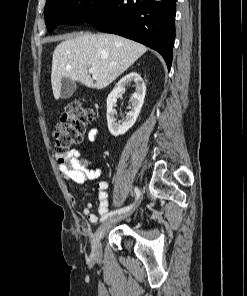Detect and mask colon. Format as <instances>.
Masks as SVG:
<instances>
[{
    "mask_svg": "<svg viewBox=\"0 0 247 296\" xmlns=\"http://www.w3.org/2000/svg\"><path fill=\"white\" fill-rule=\"evenodd\" d=\"M94 120V112L79 101H72L65 110L54 128L55 151L60 156L78 144L86 126Z\"/></svg>",
    "mask_w": 247,
    "mask_h": 296,
    "instance_id": "colon-1",
    "label": "colon"
}]
</instances>
